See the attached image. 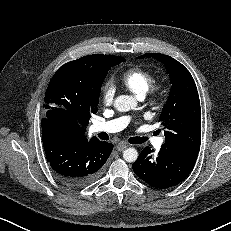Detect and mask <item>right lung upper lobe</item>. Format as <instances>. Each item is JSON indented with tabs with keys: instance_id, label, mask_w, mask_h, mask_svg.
Wrapping results in <instances>:
<instances>
[{
	"instance_id": "cb5924a9",
	"label": "right lung upper lobe",
	"mask_w": 231,
	"mask_h": 231,
	"mask_svg": "<svg viewBox=\"0 0 231 231\" xmlns=\"http://www.w3.org/2000/svg\"><path fill=\"white\" fill-rule=\"evenodd\" d=\"M90 56L91 58H97V59L105 57V55L103 54H94ZM45 118L48 119L57 128H59L61 132L64 133L69 138L87 139L85 135V126L89 123V120H77L70 124H61L52 117L45 116Z\"/></svg>"
}]
</instances>
